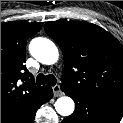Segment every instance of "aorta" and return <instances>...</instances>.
I'll return each mask as SVG.
<instances>
[{"mask_svg": "<svg viewBox=\"0 0 123 123\" xmlns=\"http://www.w3.org/2000/svg\"><path fill=\"white\" fill-rule=\"evenodd\" d=\"M29 51L37 61L46 65L56 63L59 57L56 45L51 40L43 37L32 39L29 44ZM55 109L62 116H70L75 109V104L70 97L64 96L57 99Z\"/></svg>", "mask_w": 123, "mask_h": 123, "instance_id": "1", "label": "aorta"}]
</instances>
